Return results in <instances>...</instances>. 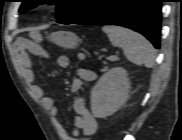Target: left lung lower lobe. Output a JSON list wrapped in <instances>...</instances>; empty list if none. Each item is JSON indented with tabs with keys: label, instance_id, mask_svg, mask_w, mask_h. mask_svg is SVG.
Segmentation results:
<instances>
[{
	"label": "left lung lower lobe",
	"instance_id": "0a47b994",
	"mask_svg": "<svg viewBox=\"0 0 182 140\" xmlns=\"http://www.w3.org/2000/svg\"><path fill=\"white\" fill-rule=\"evenodd\" d=\"M163 0H102L74 24H113L143 34L160 48L161 5Z\"/></svg>",
	"mask_w": 182,
	"mask_h": 140
}]
</instances>
